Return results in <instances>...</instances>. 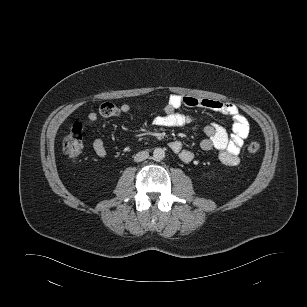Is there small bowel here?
<instances>
[{
	"label": "small bowel",
	"mask_w": 307,
	"mask_h": 307,
	"mask_svg": "<svg viewBox=\"0 0 307 307\" xmlns=\"http://www.w3.org/2000/svg\"><path fill=\"white\" fill-rule=\"evenodd\" d=\"M182 106L206 108L231 117L233 122L231 135L221 125L208 124L204 127L206 137L201 141L200 147L204 151L217 150L223 164L236 166L239 163V153L244 140L250 132L249 122L240 113L238 107L231 102L173 94L169 97L164 113L156 116L153 119V123L158 127H181L191 123L194 118L191 115L180 112L179 109ZM135 108L137 107L128 103L122 105L104 103L100 106L98 112L92 111L87 114L85 123L87 125L93 124L98 120L99 116L106 118L117 117L121 114L129 113ZM92 147L98 157H107L108 152L101 139H95ZM169 147L179 155V158L184 163H189L193 160V152L185 149L180 141L170 142Z\"/></svg>",
	"instance_id": "1"
}]
</instances>
